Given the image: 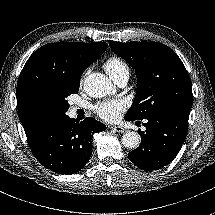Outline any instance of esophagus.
Instances as JSON below:
<instances>
[{
  "label": "esophagus",
  "instance_id": "obj_1",
  "mask_svg": "<svg viewBox=\"0 0 215 215\" xmlns=\"http://www.w3.org/2000/svg\"><path fill=\"white\" fill-rule=\"evenodd\" d=\"M109 128L111 130H114L115 132H118V133H124L125 132V128L123 126L112 125V126H109Z\"/></svg>",
  "mask_w": 215,
  "mask_h": 215
}]
</instances>
